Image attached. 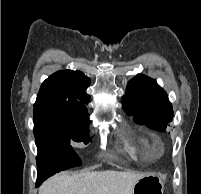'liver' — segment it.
<instances>
[{"mask_svg":"<svg viewBox=\"0 0 201 194\" xmlns=\"http://www.w3.org/2000/svg\"><path fill=\"white\" fill-rule=\"evenodd\" d=\"M143 173L114 170L62 172L46 180L39 194H132Z\"/></svg>","mask_w":201,"mask_h":194,"instance_id":"6515ba94","label":"liver"}]
</instances>
